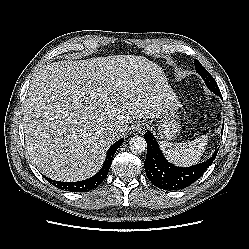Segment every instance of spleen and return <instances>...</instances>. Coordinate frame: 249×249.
<instances>
[{
	"instance_id": "obj_1",
	"label": "spleen",
	"mask_w": 249,
	"mask_h": 249,
	"mask_svg": "<svg viewBox=\"0 0 249 249\" xmlns=\"http://www.w3.org/2000/svg\"><path fill=\"white\" fill-rule=\"evenodd\" d=\"M208 138L205 135L185 143H170L162 141L161 147L165 157L179 166H190L200 161Z\"/></svg>"
}]
</instances>
